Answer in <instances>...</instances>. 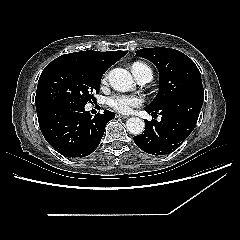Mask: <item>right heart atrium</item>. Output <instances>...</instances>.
Segmentation results:
<instances>
[{
	"label": "right heart atrium",
	"mask_w": 240,
	"mask_h": 240,
	"mask_svg": "<svg viewBox=\"0 0 240 240\" xmlns=\"http://www.w3.org/2000/svg\"><path fill=\"white\" fill-rule=\"evenodd\" d=\"M106 80H107V73L104 75V77H103V82H106Z\"/></svg>",
	"instance_id": "obj_1"
}]
</instances>
